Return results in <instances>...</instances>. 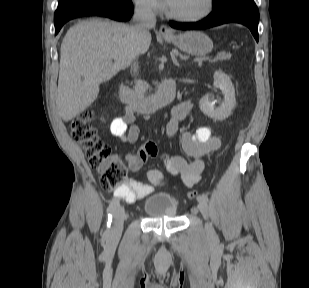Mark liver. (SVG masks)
<instances>
[{
    "instance_id": "1",
    "label": "liver",
    "mask_w": 309,
    "mask_h": 288,
    "mask_svg": "<svg viewBox=\"0 0 309 288\" xmlns=\"http://www.w3.org/2000/svg\"><path fill=\"white\" fill-rule=\"evenodd\" d=\"M150 33L136 38L132 27L107 20L80 21L66 33L60 52L56 106L68 122L89 107L100 85L148 51Z\"/></svg>"
}]
</instances>
